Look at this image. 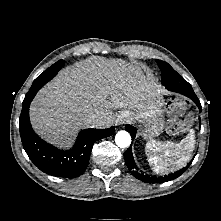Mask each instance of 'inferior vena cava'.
I'll use <instances>...</instances> for the list:
<instances>
[{"label": "inferior vena cava", "mask_w": 221, "mask_h": 221, "mask_svg": "<svg viewBox=\"0 0 221 221\" xmlns=\"http://www.w3.org/2000/svg\"><path fill=\"white\" fill-rule=\"evenodd\" d=\"M96 121H98V116H97V115H90V116L87 118V122H88V123H95Z\"/></svg>", "instance_id": "obj_1"}]
</instances>
